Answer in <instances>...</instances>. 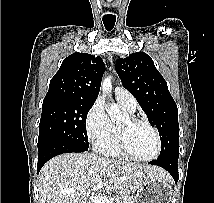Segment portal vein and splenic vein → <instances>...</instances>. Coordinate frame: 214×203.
Listing matches in <instances>:
<instances>
[{"label": "portal vein and splenic vein", "instance_id": "portal-vein-and-splenic-vein-1", "mask_svg": "<svg viewBox=\"0 0 214 203\" xmlns=\"http://www.w3.org/2000/svg\"><path fill=\"white\" fill-rule=\"evenodd\" d=\"M101 188H103V183H99V184L93 186L92 190L97 191V190H100ZM74 192L75 191L73 189L62 190L63 194H72ZM90 200L92 203H114L112 200H109L108 198L100 196V195L91 196Z\"/></svg>", "mask_w": 214, "mask_h": 203}]
</instances>
